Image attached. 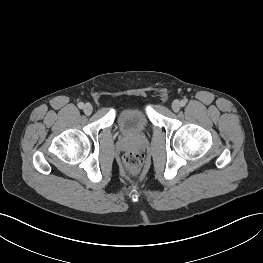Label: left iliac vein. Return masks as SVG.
<instances>
[{
  "instance_id": "obj_1",
  "label": "left iliac vein",
  "mask_w": 263,
  "mask_h": 263,
  "mask_svg": "<svg viewBox=\"0 0 263 263\" xmlns=\"http://www.w3.org/2000/svg\"><path fill=\"white\" fill-rule=\"evenodd\" d=\"M181 108V103L178 100L173 101L172 103V110L174 112H178Z\"/></svg>"
}]
</instances>
